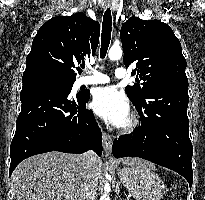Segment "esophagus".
<instances>
[{
    "label": "esophagus",
    "instance_id": "obj_1",
    "mask_svg": "<svg viewBox=\"0 0 205 200\" xmlns=\"http://www.w3.org/2000/svg\"><path fill=\"white\" fill-rule=\"evenodd\" d=\"M102 138H103V149H104V152H105L107 157H110L111 149H112V138L106 132H103Z\"/></svg>",
    "mask_w": 205,
    "mask_h": 200
}]
</instances>
